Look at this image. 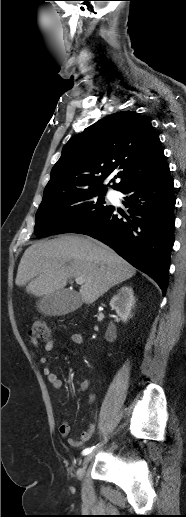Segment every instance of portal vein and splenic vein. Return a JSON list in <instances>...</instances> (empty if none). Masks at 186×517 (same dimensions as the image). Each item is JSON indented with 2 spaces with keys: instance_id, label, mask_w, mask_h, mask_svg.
<instances>
[{
  "instance_id": "1",
  "label": "portal vein and splenic vein",
  "mask_w": 186,
  "mask_h": 517,
  "mask_svg": "<svg viewBox=\"0 0 186 517\" xmlns=\"http://www.w3.org/2000/svg\"><path fill=\"white\" fill-rule=\"evenodd\" d=\"M75 281L77 284L82 285L84 283L85 279L83 277H77V278H75Z\"/></svg>"
}]
</instances>
